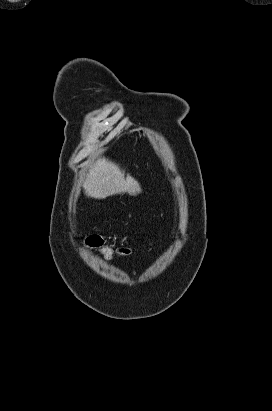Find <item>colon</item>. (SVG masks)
<instances>
[{
	"label": "colon",
	"mask_w": 272,
	"mask_h": 411,
	"mask_svg": "<svg viewBox=\"0 0 272 411\" xmlns=\"http://www.w3.org/2000/svg\"><path fill=\"white\" fill-rule=\"evenodd\" d=\"M86 244L88 245V247L98 250L107 260L114 259L117 253L121 255H127L130 253V250L128 248L114 250L110 247H104L103 239L97 235H91L87 237Z\"/></svg>",
	"instance_id": "1"
}]
</instances>
